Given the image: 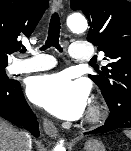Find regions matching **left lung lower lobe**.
I'll list each match as a JSON object with an SVG mask.
<instances>
[{"label": "left lung lower lobe", "instance_id": "obj_1", "mask_svg": "<svg viewBox=\"0 0 131 151\" xmlns=\"http://www.w3.org/2000/svg\"><path fill=\"white\" fill-rule=\"evenodd\" d=\"M118 128H131V104H120L114 112L110 111V115L103 126L87 134L105 133Z\"/></svg>", "mask_w": 131, "mask_h": 151}]
</instances>
